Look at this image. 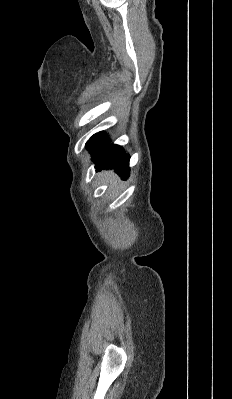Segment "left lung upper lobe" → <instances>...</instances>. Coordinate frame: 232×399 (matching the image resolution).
<instances>
[{"instance_id": "1", "label": "left lung upper lobe", "mask_w": 232, "mask_h": 399, "mask_svg": "<svg viewBox=\"0 0 232 399\" xmlns=\"http://www.w3.org/2000/svg\"><path fill=\"white\" fill-rule=\"evenodd\" d=\"M108 140L103 132H99L94 134L90 140L86 143V147L92 151L99 149L104 143Z\"/></svg>"}]
</instances>
